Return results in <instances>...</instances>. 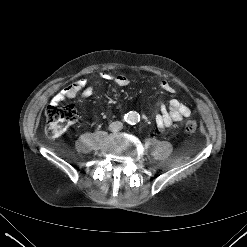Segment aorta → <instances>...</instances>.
Masks as SVG:
<instances>
[{
	"mask_svg": "<svg viewBox=\"0 0 247 247\" xmlns=\"http://www.w3.org/2000/svg\"><path fill=\"white\" fill-rule=\"evenodd\" d=\"M125 120L129 124H136L140 121V115L136 111H130L126 114Z\"/></svg>",
	"mask_w": 247,
	"mask_h": 247,
	"instance_id": "762f6f07",
	"label": "aorta"
}]
</instances>
